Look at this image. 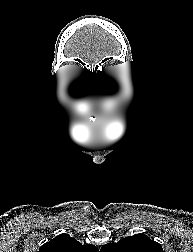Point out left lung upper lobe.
Here are the masks:
<instances>
[{
  "label": "left lung upper lobe",
  "instance_id": "1",
  "mask_svg": "<svg viewBox=\"0 0 193 252\" xmlns=\"http://www.w3.org/2000/svg\"><path fill=\"white\" fill-rule=\"evenodd\" d=\"M101 252H164L162 246L150 240L145 234H136L117 243L104 245Z\"/></svg>",
  "mask_w": 193,
  "mask_h": 252
}]
</instances>
